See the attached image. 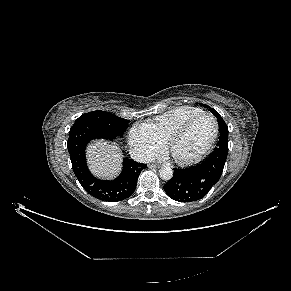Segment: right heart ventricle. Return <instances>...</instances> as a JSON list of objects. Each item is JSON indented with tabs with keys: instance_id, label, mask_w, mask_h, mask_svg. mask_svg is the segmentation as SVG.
<instances>
[{
	"instance_id": "obj_1",
	"label": "right heart ventricle",
	"mask_w": 291,
	"mask_h": 291,
	"mask_svg": "<svg viewBox=\"0 0 291 291\" xmlns=\"http://www.w3.org/2000/svg\"><path fill=\"white\" fill-rule=\"evenodd\" d=\"M202 112L201 109L195 107H177L157 116L141 127L147 134L162 144L186 120Z\"/></svg>"
}]
</instances>
